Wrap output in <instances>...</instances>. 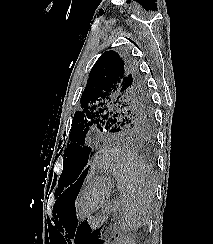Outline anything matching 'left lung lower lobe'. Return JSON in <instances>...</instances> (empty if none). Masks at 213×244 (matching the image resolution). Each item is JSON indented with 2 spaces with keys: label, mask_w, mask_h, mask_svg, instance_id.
Returning <instances> with one entry per match:
<instances>
[{
  "label": "left lung lower lobe",
  "mask_w": 213,
  "mask_h": 244,
  "mask_svg": "<svg viewBox=\"0 0 213 244\" xmlns=\"http://www.w3.org/2000/svg\"><path fill=\"white\" fill-rule=\"evenodd\" d=\"M91 155L92 153H90V149L86 150L85 153L83 154L80 162V167H79V176L77 177L73 185H81L83 183L84 178L88 172V168H86V165Z\"/></svg>",
  "instance_id": "0a47b994"
}]
</instances>
